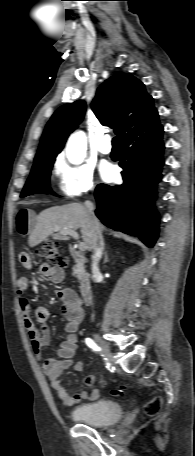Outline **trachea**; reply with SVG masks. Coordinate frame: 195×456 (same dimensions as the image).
Here are the masks:
<instances>
[{
    "mask_svg": "<svg viewBox=\"0 0 195 456\" xmlns=\"http://www.w3.org/2000/svg\"><path fill=\"white\" fill-rule=\"evenodd\" d=\"M119 143H120L119 137H114L112 140V145L114 147H119Z\"/></svg>",
    "mask_w": 195,
    "mask_h": 456,
    "instance_id": "3493384b",
    "label": "trachea"
}]
</instances>
